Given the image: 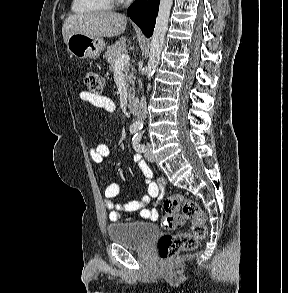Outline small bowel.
<instances>
[{
  "instance_id": "1",
  "label": "small bowel",
  "mask_w": 288,
  "mask_h": 293,
  "mask_svg": "<svg viewBox=\"0 0 288 293\" xmlns=\"http://www.w3.org/2000/svg\"><path fill=\"white\" fill-rule=\"evenodd\" d=\"M81 100L90 103L94 107L104 109L109 113L116 111V105L114 101L104 94H93L88 91H82L79 94ZM110 150L106 144H97L90 148L89 154L91 159L100 164L109 155ZM133 161L140 168L144 183L147 188V195L140 201L132 200L125 204L115 202L113 199L119 194L120 186L117 183H110L104 191L105 205L109 210V220L111 222H117L121 219L125 221H132L134 217L132 212L139 211V218L142 220H157L158 211L156 208H146V206L152 200H161L163 195L160 191L158 184L153 180V173L149 166L142 159L141 155L135 154Z\"/></svg>"
}]
</instances>
